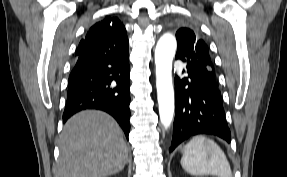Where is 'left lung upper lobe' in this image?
I'll return each mask as SVG.
<instances>
[{
    "label": "left lung upper lobe",
    "instance_id": "1",
    "mask_svg": "<svg viewBox=\"0 0 287 177\" xmlns=\"http://www.w3.org/2000/svg\"><path fill=\"white\" fill-rule=\"evenodd\" d=\"M176 39V56L208 82L217 83L207 44L189 28H180L176 32Z\"/></svg>",
    "mask_w": 287,
    "mask_h": 177
}]
</instances>
